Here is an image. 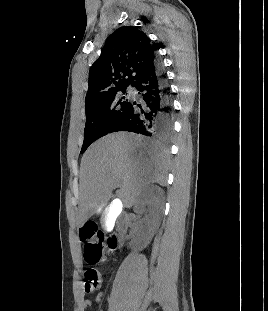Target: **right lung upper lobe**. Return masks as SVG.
<instances>
[{
    "label": "right lung upper lobe",
    "instance_id": "right-lung-upper-lobe-1",
    "mask_svg": "<svg viewBox=\"0 0 268 311\" xmlns=\"http://www.w3.org/2000/svg\"><path fill=\"white\" fill-rule=\"evenodd\" d=\"M156 50L144 32L131 26L118 28L91 66L85 109L131 85L153 64Z\"/></svg>",
    "mask_w": 268,
    "mask_h": 311
}]
</instances>
